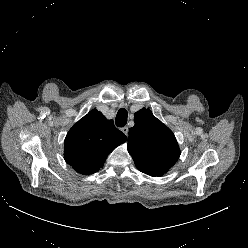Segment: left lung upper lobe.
I'll use <instances>...</instances> for the list:
<instances>
[{
    "mask_svg": "<svg viewBox=\"0 0 248 248\" xmlns=\"http://www.w3.org/2000/svg\"><path fill=\"white\" fill-rule=\"evenodd\" d=\"M134 122L128 136L129 154L138 170L153 177L162 176L180 156L174 134L146 108L135 113Z\"/></svg>",
    "mask_w": 248,
    "mask_h": 248,
    "instance_id": "obj_1",
    "label": "left lung upper lobe"
}]
</instances>
